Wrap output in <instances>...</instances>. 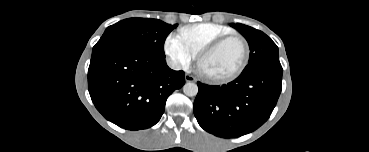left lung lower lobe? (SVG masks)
<instances>
[{"label":"left lung lower lobe","instance_id":"1","mask_svg":"<svg viewBox=\"0 0 369 152\" xmlns=\"http://www.w3.org/2000/svg\"><path fill=\"white\" fill-rule=\"evenodd\" d=\"M282 72L261 69L222 86L198 82L194 115L207 132L222 138L251 133L270 117L282 89Z\"/></svg>","mask_w":369,"mask_h":152}]
</instances>
